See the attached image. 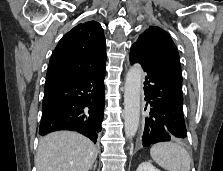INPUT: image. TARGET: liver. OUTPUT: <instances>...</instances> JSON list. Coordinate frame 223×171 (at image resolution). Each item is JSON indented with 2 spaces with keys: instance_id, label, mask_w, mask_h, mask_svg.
<instances>
[{
  "instance_id": "1",
  "label": "liver",
  "mask_w": 223,
  "mask_h": 171,
  "mask_svg": "<svg viewBox=\"0 0 223 171\" xmlns=\"http://www.w3.org/2000/svg\"><path fill=\"white\" fill-rule=\"evenodd\" d=\"M94 143L71 131L50 133L39 141L37 171H88L97 158Z\"/></svg>"
}]
</instances>
